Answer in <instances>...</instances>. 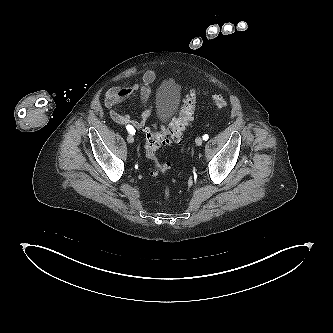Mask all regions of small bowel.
Instances as JSON below:
<instances>
[{
    "instance_id": "small-bowel-1",
    "label": "small bowel",
    "mask_w": 333,
    "mask_h": 333,
    "mask_svg": "<svg viewBox=\"0 0 333 333\" xmlns=\"http://www.w3.org/2000/svg\"><path fill=\"white\" fill-rule=\"evenodd\" d=\"M155 78V72L147 69L141 73L139 79L132 83L107 90L104 94V104L109 111L110 118L118 125L142 129L150 116L151 84ZM135 93L139 94L142 110L139 117L133 119L128 114L120 111L118 106Z\"/></svg>"
}]
</instances>
